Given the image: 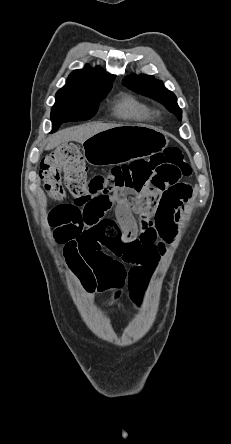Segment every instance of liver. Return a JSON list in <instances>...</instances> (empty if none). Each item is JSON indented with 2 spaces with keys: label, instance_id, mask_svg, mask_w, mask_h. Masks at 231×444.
<instances>
[{
  "label": "liver",
  "instance_id": "obj_1",
  "mask_svg": "<svg viewBox=\"0 0 231 444\" xmlns=\"http://www.w3.org/2000/svg\"><path fill=\"white\" fill-rule=\"evenodd\" d=\"M122 126L120 124H104L99 122L89 123L78 127L67 128L61 131L56 132L52 136L49 137L48 143L46 145V150H51L55 147H58L62 143H67L69 141H75L78 143H82L90 138L91 136L114 128Z\"/></svg>",
  "mask_w": 231,
  "mask_h": 444
}]
</instances>
